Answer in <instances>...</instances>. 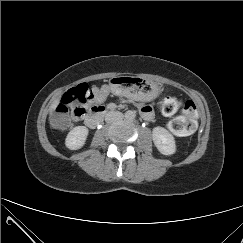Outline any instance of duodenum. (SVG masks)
<instances>
[{"label": "duodenum", "instance_id": "obj_1", "mask_svg": "<svg viewBox=\"0 0 243 243\" xmlns=\"http://www.w3.org/2000/svg\"><path fill=\"white\" fill-rule=\"evenodd\" d=\"M108 112L109 110L103 106L93 107L86 116V125L90 128L97 127V125L100 124V122L103 120V118L107 115Z\"/></svg>", "mask_w": 243, "mask_h": 243}]
</instances>
